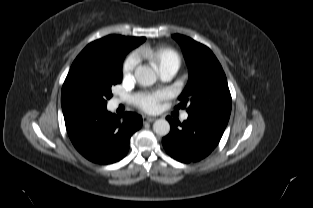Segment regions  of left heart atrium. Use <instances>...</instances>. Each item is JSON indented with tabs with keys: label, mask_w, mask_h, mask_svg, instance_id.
<instances>
[{
	"label": "left heart atrium",
	"mask_w": 313,
	"mask_h": 208,
	"mask_svg": "<svg viewBox=\"0 0 313 208\" xmlns=\"http://www.w3.org/2000/svg\"><path fill=\"white\" fill-rule=\"evenodd\" d=\"M164 98V94L157 93H140L135 96L136 105L142 110L154 113L160 108V101Z\"/></svg>",
	"instance_id": "1"
}]
</instances>
